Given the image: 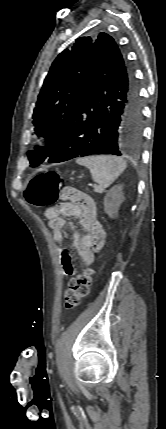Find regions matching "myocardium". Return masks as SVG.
Instances as JSON below:
<instances>
[{"label":"myocardium","instance_id":"1","mask_svg":"<svg viewBox=\"0 0 166 429\" xmlns=\"http://www.w3.org/2000/svg\"><path fill=\"white\" fill-rule=\"evenodd\" d=\"M46 145V138L43 136H39L35 139L34 143H33V147L35 149H41Z\"/></svg>","mask_w":166,"mask_h":429}]
</instances>
